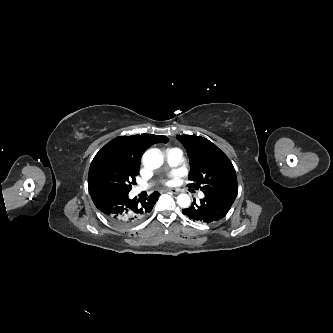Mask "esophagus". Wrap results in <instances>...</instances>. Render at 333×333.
Returning a JSON list of instances; mask_svg holds the SVG:
<instances>
[{"label":"esophagus","instance_id":"1","mask_svg":"<svg viewBox=\"0 0 333 333\" xmlns=\"http://www.w3.org/2000/svg\"><path fill=\"white\" fill-rule=\"evenodd\" d=\"M166 191L169 192V193H172V194H178L179 193V191L177 189H174V188L167 189Z\"/></svg>","mask_w":333,"mask_h":333}]
</instances>
